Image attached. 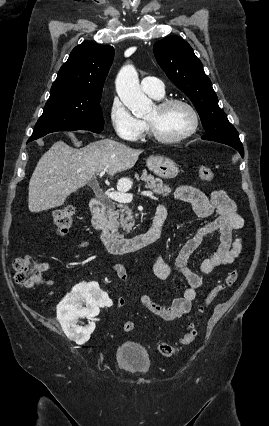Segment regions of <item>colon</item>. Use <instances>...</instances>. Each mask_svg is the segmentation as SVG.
Here are the masks:
<instances>
[{"label": "colon", "instance_id": "colon-1", "mask_svg": "<svg viewBox=\"0 0 269 426\" xmlns=\"http://www.w3.org/2000/svg\"><path fill=\"white\" fill-rule=\"evenodd\" d=\"M199 177L206 183H212L214 181V174L207 165L198 166ZM53 221L56 231L59 235H66L72 228L75 221V209L73 206H64L53 212ZM13 269L15 272V281L23 286H34L42 282V264L37 262L32 256L25 255L14 258ZM239 277L238 269H232L225 279L211 289L203 304L199 307L198 312L202 314L208 304H210L220 292L227 288L232 287ZM125 332H131L134 330V323L126 321L123 324ZM198 335V330L195 325H192L186 334L179 340L178 345L161 342L157 345L158 352L166 357L174 355L179 347L188 346L192 344Z\"/></svg>", "mask_w": 269, "mask_h": 426}]
</instances>
